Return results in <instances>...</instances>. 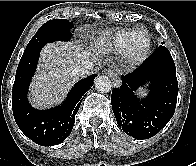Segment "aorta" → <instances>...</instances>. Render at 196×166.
<instances>
[{
    "mask_svg": "<svg viewBox=\"0 0 196 166\" xmlns=\"http://www.w3.org/2000/svg\"><path fill=\"white\" fill-rule=\"evenodd\" d=\"M95 89L100 93H107L112 89L111 80L107 76H98L94 80Z\"/></svg>",
    "mask_w": 196,
    "mask_h": 166,
    "instance_id": "762f6f07",
    "label": "aorta"
}]
</instances>
